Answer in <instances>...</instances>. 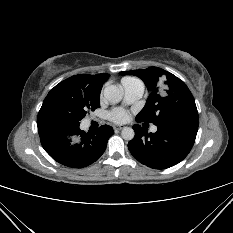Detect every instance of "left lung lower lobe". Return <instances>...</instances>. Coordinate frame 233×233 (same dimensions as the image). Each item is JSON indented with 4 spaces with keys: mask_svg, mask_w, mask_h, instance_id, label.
<instances>
[{
    "mask_svg": "<svg viewBox=\"0 0 233 233\" xmlns=\"http://www.w3.org/2000/svg\"><path fill=\"white\" fill-rule=\"evenodd\" d=\"M157 127L156 133L148 134L147 130L135 124V136L128 143V149L140 163L153 169H166L178 164L188 155L195 142L198 122Z\"/></svg>",
    "mask_w": 233,
    "mask_h": 233,
    "instance_id": "1",
    "label": "left lung lower lobe"
}]
</instances>
